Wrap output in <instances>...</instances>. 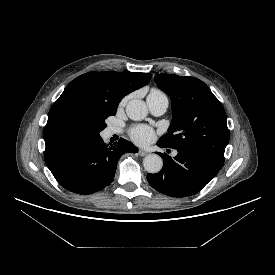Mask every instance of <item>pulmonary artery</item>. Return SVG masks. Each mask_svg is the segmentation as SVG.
Instances as JSON below:
<instances>
[{"instance_id":"e3ab8cb5","label":"pulmonary artery","mask_w":275,"mask_h":275,"mask_svg":"<svg viewBox=\"0 0 275 275\" xmlns=\"http://www.w3.org/2000/svg\"><path fill=\"white\" fill-rule=\"evenodd\" d=\"M147 105L149 107L150 112L153 115H157V116L162 115L167 110L168 99L165 95H148ZM119 132H120L119 129H117L115 127H110L107 130V133L109 135H113V134H116ZM175 154H176V152H174V155Z\"/></svg>"}]
</instances>
